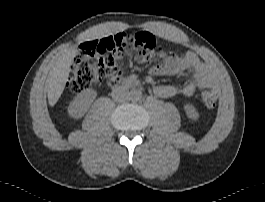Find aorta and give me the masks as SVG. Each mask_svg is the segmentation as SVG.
Returning a JSON list of instances; mask_svg holds the SVG:
<instances>
[{
    "label": "aorta",
    "mask_w": 265,
    "mask_h": 202,
    "mask_svg": "<svg viewBox=\"0 0 265 202\" xmlns=\"http://www.w3.org/2000/svg\"><path fill=\"white\" fill-rule=\"evenodd\" d=\"M141 97H142V94L139 90H133L130 93V99L132 101H139L141 99Z\"/></svg>",
    "instance_id": "1"
}]
</instances>
